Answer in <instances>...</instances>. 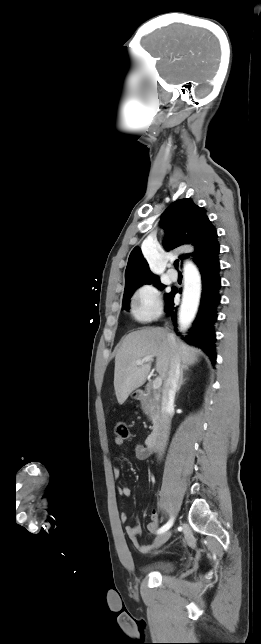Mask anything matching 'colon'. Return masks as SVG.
Returning <instances> with one entry per match:
<instances>
[{"instance_id": "5ec220e1", "label": "colon", "mask_w": 261, "mask_h": 644, "mask_svg": "<svg viewBox=\"0 0 261 644\" xmlns=\"http://www.w3.org/2000/svg\"><path fill=\"white\" fill-rule=\"evenodd\" d=\"M115 434L117 438L126 439L129 436L128 426L125 422L120 421L115 426Z\"/></svg>"}]
</instances>
